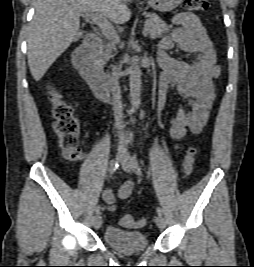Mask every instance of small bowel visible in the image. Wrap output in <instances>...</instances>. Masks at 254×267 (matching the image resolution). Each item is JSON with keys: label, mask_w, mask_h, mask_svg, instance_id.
I'll return each instance as SVG.
<instances>
[{"label": "small bowel", "mask_w": 254, "mask_h": 267, "mask_svg": "<svg viewBox=\"0 0 254 267\" xmlns=\"http://www.w3.org/2000/svg\"><path fill=\"white\" fill-rule=\"evenodd\" d=\"M174 29L163 38L158 46L157 60L162 68L159 82L158 112H161L170 88L175 87L178 95L187 100V107L179 105L170 119V136L173 140L182 139L189 131L199 134L207 123L209 111L215 98L213 80L218 77L220 67L207 31L199 17L190 12H182L171 20ZM177 45L193 55L190 61L172 58L167 50ZM133 181L120 186L117 195L124 200L130 197ZM102 198L105 209L116 210L114 193L105 188Z\"/></svg>", "instance_id": "1"}]
</instances>
